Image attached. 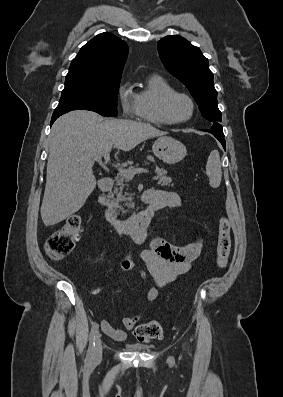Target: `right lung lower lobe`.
Returning <instances> with one entry per match:
<instances>
[{
  "label": "right lung lower lobe",
  "mask_w": 283,
  "mask_h": 397,
  "mask_svg": "<svg viewBox=\"0 0 283 397\" xmlns=\"http://www.w3.org/2000/svg\"><path fill=\"white\" fill-rule=\"evenodd\" d=\"M69 111H54L52 118H51V125L54 123V121L61 115L67 113Z\"/></svg>",
  "instance_id": "obj_1"
}]
</instances>
